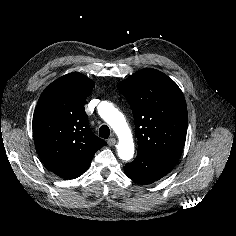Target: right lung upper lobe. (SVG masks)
I'll list each match as a JSON object with an SVG mask.
<instances>
[{
	"instance_id": "1",
	"label": "right lung upper lobe",
	"mask_w": 236,
	"mask_h": 236,
	"mask_svg": "<svg viewBox=\"0 0 236 236\" xmlns=\"http://www.w3.org/2000/svg\"><path fill=\"white\" fill-rule=\"evenodd\" d=\"M94 83L81 73L64 75L42 92L33 115V137L43 164L69 179L89 167L106 142L94 135L84 110Z\"/></svg>"
}]
</instances>
